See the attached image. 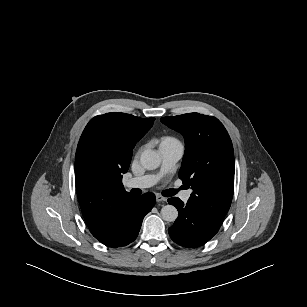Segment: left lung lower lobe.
<instances>
[{"label":"left lung lower lobe","mask_w":307,"mask_h":307,"mask_svg":"<svg viewBox=\"0 0 307 307\" xmlns=\"http://www.w3.org/2000/svg\"><path fill=\"white\" fill-rule=\"evenodd\" d=\"M168 202L178 209V218L168 229L171 239L183 247L194 248L205 244L219 230V224L198 213L188 203L179 198H169Z\"/></svg>","instance_id":"left-lung-lower-lobe-1"}]
</instances>
